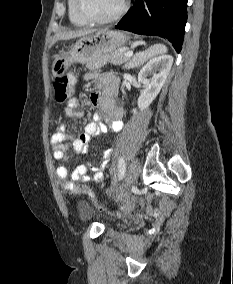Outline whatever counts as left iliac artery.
Returning a JSON list of instances; mask_svg holds the SVG:
<instances>
[{"instance_id": "1", "label": "left iliac artery", "mask_w": 233, "mask_h": 284, "mask_svg": "<svg viewBox=\"0 0 233 284\" xmlns=\"http://www.w3.org/2000/svg\"><path fill=\"white\" fill-rule=\"evenodd\" d=\"M125 171H126V164L123 158L119 159L118 162V177L119 179H122L125 175Z\"/></svg>"}]
</instances>
